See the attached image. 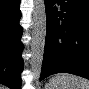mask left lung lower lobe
<instances>
[{
	"label": "left lung lower lobe",
	"mask_w": 89,
	"mask_h": 89,
	"mask_svg": "<svg viewBox=\"0 0 89 89\" xmlns=\"http://www.w3.org/2000/svg\"><path fill=\"white\" fill-rule=\"evenodd\" d=\"M45 9L40 80L56 73L89 79V0H45Z\"/></svg>",
	"instance_id": "left-lung-lower-lobe-1"
}]
</instances>
